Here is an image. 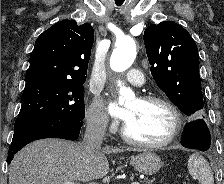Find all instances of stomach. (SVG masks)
Wrapping results in <instances>:
<instances>
[{
	"instance_id": "0dacf381",
	"label": "stomach",
	"mask_w": 224,
	"mask_h": 184,
	"mask_svg": "<svg viewBox=\"0 0 224 184\" xmlns=\"http://www.w3.org/2000/svg\"><path fill=\"white\" fill-rule=\"evenodd\" d=\"M131 165L141 174L153 175L159 171L162 166L160 157L151 152H143L132 156Z\"/></svg>"
}]
</instances>
